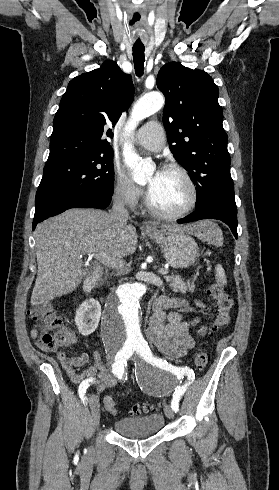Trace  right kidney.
<instances>
[{"mask_svg": "<svg viewBox=\"0 0 279 490\" xmlns=\"http://www.w3.org/2000/svg\"><path fill=\"white\" fill-rule=\"evenodd\" d=\"M101 316V306L98 300H85L76 310L75 324L79 334L90 336L95 332Z\"/></svg>", "mask_w": 279, "mask_h": 490, "instance_id": "1", "label": "right kidney"}]
</instances>
